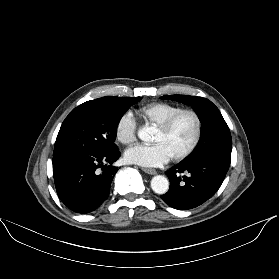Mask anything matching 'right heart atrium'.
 Wrapping results in <instances>:
<instances>
[{"mask_svg":"<svg viewBox=\"0 0 279 279\" xmlns=\"http://www.w3.org/2000/svg\"><path fill=\"white\" fill-rule=\"evenodd\" d=\"M138 123L134 115L127 111L117 120L115 126L116 137L124 145H130L135 142L137 136Z\"/></svg>","mask_w":279,"mask_h":279,"instance_id":"1","label":"right heart atrium"}]
</instances>
